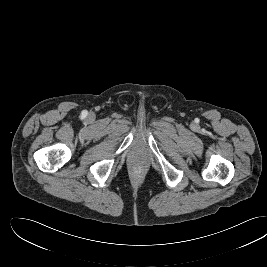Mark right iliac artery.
I'll list each match as a JSON object with an SVG mask.
<instances>
[{
  "label": "right iliac artery",
  "instance_id": "82829eb1",
  "mask_svg": "<svg viewBox=\"0 0 267 267\" xmlns=\"http://www.w3.org/2000/svg\"><path fill=\"white\" fill-rule=\"evenodd\" d=\"M86 113H87L86 111H83V113H82V114L84 115V114H86Z\"/></svg>",
  "mask_w": 267,
  "mask_h": 267
}]
</instances>
